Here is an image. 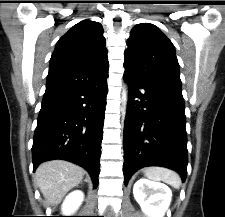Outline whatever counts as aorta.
<instances>
[{
	"instance_id": "1",
	"label": "aorta",
	"mask_w": 225,
	"mask_h": 217,
	"mask_svg": "<svg viewBox=\"0 0 225 217\" xmlns=\"http://www.w3.org/2000/svg\"><path fill=\"white\" fill-rule=\"evenodd\" d=\"M128 102V88L127 85H124L123 91H122V110L125 113L126 107Z\"/></svg>"
}]
</instances>
